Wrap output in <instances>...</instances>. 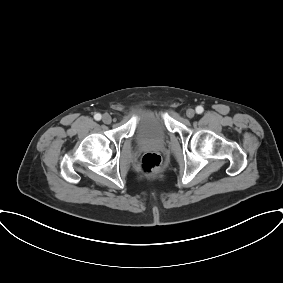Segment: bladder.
Listing matches in <instances>:
<instances>
[{
  "label": "bladder",
  "instance_id": "bladder-1",
  "mask_svg": "<svg viewBox=\"0 0 283 283\" xmlns=\"http://www.w3.org/2000/svg\"><path fill=\"white\" fill-rule=\"evenodd\" d=\"M168 133L164 110L141 108L136 112L135 135L140 143H163L167 139Z\"/></svg>",
  "mask_w": 283,
  "mask_h": 283
}]
</instances>
